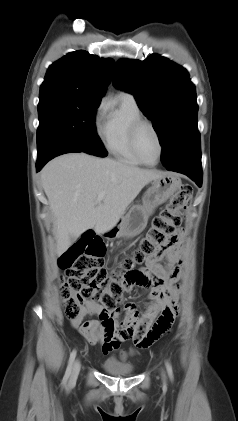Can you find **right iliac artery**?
<instances>
[{"instance_id": "1", "label": "right iliac artery", "mask_w": 238, "mask_h": 421, "mask_svg": "<svg viewBox=\"0 0 238 421\" xmlns=\"http://www.w3.org/2000/svg\"><path fill=\"white\" fill-rule=\"evenodd\" d=\"M75 357H76V350H73V351L71 352V354H70V358H69L68 366H67V369H66L65 375H64V377H63V380H62V383H63V384H66V382H67V380H68V378H69V376H70V374H71V371H72V366H73V362H74V360H75Z\"/></svg>"}]
</instances>
